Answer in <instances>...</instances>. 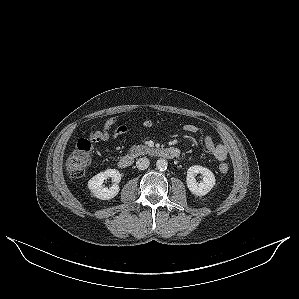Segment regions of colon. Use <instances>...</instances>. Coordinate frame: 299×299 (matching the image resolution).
I'll list each match as a JSON object with an SVG mask.
<instances>
[{
  "label": "colon",
  "instance_id": "colon-1",
  "mask_svg": "<svg viewBox=\"0 0 299 299\" xmlns=\"http://www.w3.org/2000/svg\"><path fill=\"white\" fill-rule=\"evenodd\" d=\"M146 126H151V121H145ZM91 162V141L88 139H81L78 141L74 151L66 159L65 167L67 173L71 177H81L85 174ZM222 173H227L229 166L222 163L219 166Z\"/></svg>",
  "mask_w": 299,
  "mask_h": 299
}]
</instances>
